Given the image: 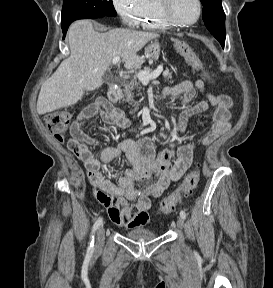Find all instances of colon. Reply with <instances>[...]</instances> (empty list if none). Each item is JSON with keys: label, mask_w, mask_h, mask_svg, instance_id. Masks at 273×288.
<instances>
[{"label": "colon", "mask_w": 273, "mask_h": 288, "mask_svg": "<svg viewBox=\"0 0 273 288\" xmlns=\"http://www.w3.org/2000/svg\"><path fill=\"white\" fill-rule=\"evenodd\" d=\"M176 48L181 56L190 64L193 68L202 72V75L209 79V76L203 70V64L198 59L192 48L183 41L176 43ZM71 121V114L64 110H58L48 113L45 116V123L48 130L52 133L56 140L62 142L65 137V133ZM200 179V170L194 169L190 171L184 178L181 185L170 195L165 197L160 203V211L163 214L172 213L176 206L181 202L184 197L189 196L197 188Z\"/></svg>", "instance_id": "1"}]
</instances>
